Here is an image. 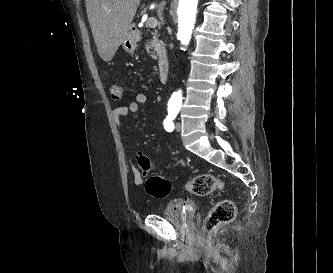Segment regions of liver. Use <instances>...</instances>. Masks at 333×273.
Returning a JSON list of instances; mask_svg holds the SVG:
<instances>
[{
  "mask_svg": "<svg viewBox=\"0 0 333 273\" xmlns=\"http://www.w3.org/2000/svg\"><path fill=\"white\" fill-rule=\"evenodd\" d=\"M86 11L99 56L113 59L128 35L140 0H86Z\"/></svg>",
  "mask_w": 333,
  "mask_h": 273,
  "instance_id": "1",
  "label": "liver"
}]
</instances>
